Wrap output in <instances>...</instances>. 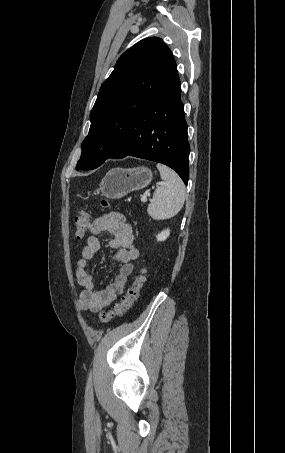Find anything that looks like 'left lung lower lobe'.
I'll return each mask as SVG.
<instances>
[{
    "instance_id": "0a47b994",
    "label": "left lung lower lobe",
    "mask_w": 285,
    "mask_h": 453,
    "mask_svg": "<svg viewBox=\"0 0 285 453\" xmlns=\"http://www.w3.org/2000/svg\"><path fill=\"white\" fill-rule=\"evenodd\" d=\"M180 97V80L174 62L151 101L108 158L121 159L129 155L165 164L187 185L190 146Z\"/></svg>"
}]
</instances>
